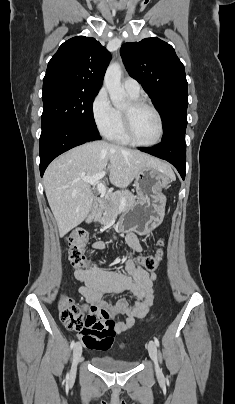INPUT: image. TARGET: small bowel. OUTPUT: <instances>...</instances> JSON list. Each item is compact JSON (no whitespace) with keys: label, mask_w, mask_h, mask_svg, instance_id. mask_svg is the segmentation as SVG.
I'll list each match as a JSON object with an SVG mask.
<instances>
[{"label":"small bowel","mask_w":235,"mask_h":404,"mask_svg":"<svg viewBox=\"0 0 235 404\" xmlns=\"http://www.w3.org/2000/svg\"><path fill=\"white\" fill-rule=\"evenodd\" d=\"M129 246L135 251H142L143 245L135 234L127 237ZM92 248L99 250L104 248L103 242H95ZM128 274H119L105 271L97 266L77 268L75 278L80 283L79 293L85 297L83 307L89 314L102 316L106 319L125 315V322H113L111 330L114 335L127 331L137 318L145 316L154 305L153 282L156 274L147 271L138 265L134 259L125 263ZM129 293L135 297L134 304H130L125 298H120L115 303L108 302L105 298L110 295ZM79 335L85 347L89 349H107L110 343L105 344L99 333H87L85 328L79 329Z\"/></svg>","instance_id":"1"}]
</instances>
